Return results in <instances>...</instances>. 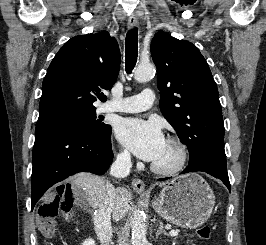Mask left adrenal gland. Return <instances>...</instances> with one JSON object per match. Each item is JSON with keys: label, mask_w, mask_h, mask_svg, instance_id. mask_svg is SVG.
<instances>
[{"label": "left adrenal gland", "mask_w": 266, "mask_h": 245, "mask_svg": "<svg viewBox=\"0 0 266 245\" xmlns=\"http://www.w3.org/2000/svg\"><path fill=\"white\" fill-rule=\"evenodd\" d=\"M162 233H163V235H167V233L163 227V223H161V221H160L159 227L157 229V233L155 235L156 239H158V237H160V235H162Z\"/></svg>", "instance_id": "obj_1"}]
</instances>
